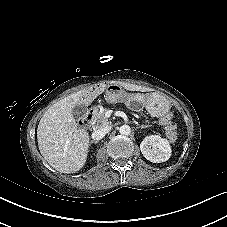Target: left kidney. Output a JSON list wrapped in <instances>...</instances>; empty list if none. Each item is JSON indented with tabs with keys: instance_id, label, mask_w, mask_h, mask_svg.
<instances>
[{
	"instance_id": "1",
	"label": "left kidney",
	"mask_w": 227,
	"mask_h": 227,
	"mask_svg": "<svg viewBox=\"0 0 227 227\" xmlns=\"http://www.w3.org/2000/svg\"><path fill=\"white\" fill-rule=\"evenodd\" d=\"M143 156L153 163L167 161L171 156V146L167 139L159 135L146 136L140 144Z\"/></svg>"
}]
</instances>
